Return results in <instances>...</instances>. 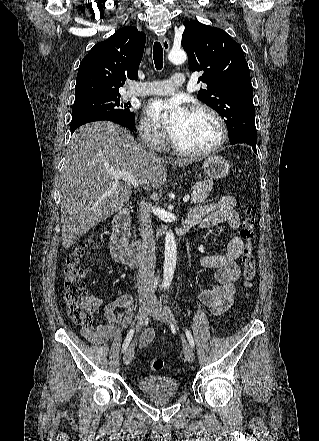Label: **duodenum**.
I'll return each instance as SVG.
<instances>
[{
    "mask_svg": "<svg viewBox=\"0 0 319 441\" xmlns=\"http://www.w3.org/2000/svg\"><path fill=\"white\" fill-rule=\"evenodd\" d=\"M130 208H122L114 217L113 231L110 238V250L113 259L129 267H136L149 250V243L142 241L129 244ZM188 226L183 223L175 229L177 235H183Z\"/></svg>",
    "mask_w": 319,
    "mask_h": 441,
    "instance_id": "410a0bca",
    "label": "duodenum"
}]
</instances>
